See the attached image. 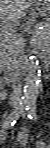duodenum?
Returning a JSON list of instances; mask_svg holds the SVG:
<instances>
[{
    "label": "duodenum",
    "mask_w": 50,
    "mask_h": 148,
    "mask_svg": "<svg viewBox=\"0 0 50 148\" xmlns=\"http://www.w3.org/2000/svg\"><path fill=\"white\" fill-rule=\"evenodd\" d=\"M40 59H41V61H47L48 60V55L44 54V55L41 56ZM23 62L26 63L27 62V59H23ZM4 83H7V84H9V83H15L18 86L21 85V83L19 81V77L18 76H12V75L6 76L5 79H4Z\"/></svg>",
    "instance_id": "1"
}]
</instances>
